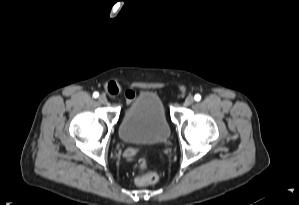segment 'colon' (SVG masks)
I'll list each match as a JSON object with an SVG mask.
<instances>
[{
  "label": "colon",
  "mask_w": 299,
  "mask_h": 205,
  "mask_svg": "<svg viewBox=\"0 0 299 205\" xmlns=\"http://www.w3.org/2000/svg\"><path fill=\"white\" fill-rule=\"evenodd\" d=\"M139 170L142 172V175L136 177L135 183L139 186H146L154 184L158 181L159 175L153 170H149L145 161H141L138 164Z\"/></svg>",
  "instance_id": "1"
}]
</instances>
